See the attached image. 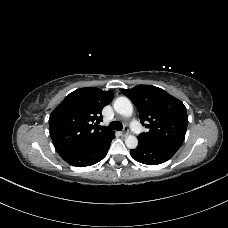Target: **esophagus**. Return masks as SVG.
<instances>
[{"label":"esophagus","instance_id":"obj_1","mask_svg":"<svg viewBox=\"0 0 228 228\" xmlns=\"http://www.w3.org/2000/svg\"><path fill=\"white\" fill-rule=\"evenodd\" d=\"M128 134H129L128 128L125 126V127H124V130L121 132V135H122V136H127Z\"/></svg>","mask_w":228,"mask_h":228}]
</instances>
